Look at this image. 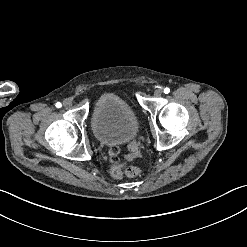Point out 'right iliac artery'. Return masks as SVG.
<instances>
[{
	"label": "right iliac artery",
	"instance_id": "obj_1",
	"mask_svg": "<svg viewBox=\"0 0 247 247\" xmlns=\"http://www.w3.org/2000/svg\"><path fill=\"white\" fill-rule=\"evenodd\" d=\"M57 108H61L62 107V104L60 102H57L56 105H55Z\"/></svg>",
	"mask_w": 247,
	"mask_h": 247
}]
</instances>
